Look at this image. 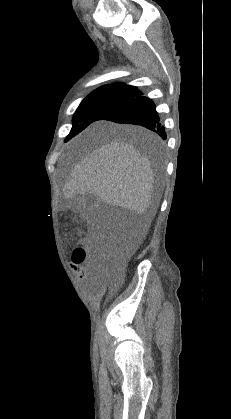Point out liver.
<instances>
[{
    "label": "liver",
    "mask_w": 231,
    "mask_h": 419,
    "mask_svg": "<svg viewBox=\"0 0 231 419\" xmlns=\"http://www.w3.org/2000/svg\"><path fill=\"white\" fill-rule=\"evenodd\" d=\"M114 130L156 142L153 134L136 126H114ZM154 174L147 156L131 144L112 140L88 154L72 171L64 185L66 198L92 194L107 204L143 215L139 240L145 237L157 211L153 203Z\"/></svg>",
    "instance_id": "1"
}]
</instances>
